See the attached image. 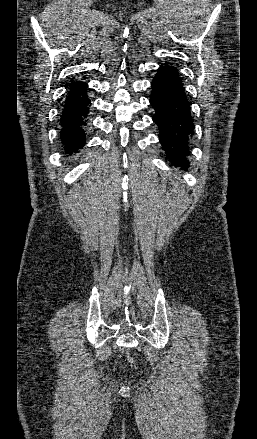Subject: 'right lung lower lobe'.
I'll list each match as a JSON object with an SVG mask.
<instances>
[{
  "instance_id": "obj_1",
  "label": "right lung lower lobe",
  "mask_w": 257,
  "mask_h": 439,
  "mask_svg": "<svg viewBox=\"0 0 257 439\" xmlns=\"http://www.w3.org/2000/svg\"><path fill=\"white\" fill-rule=\"evenodd\" d=\"M87 84L76 82L71 86L61 115V139L66 153L77 152L85 144V126L90 100Z\"/></svg>"
}]
</instances>
